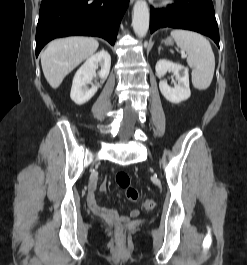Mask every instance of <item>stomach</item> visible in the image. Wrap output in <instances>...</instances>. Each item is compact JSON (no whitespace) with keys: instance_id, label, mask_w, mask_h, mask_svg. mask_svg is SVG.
<instances>
[{"instance_id":"obj_1","label":"stomach","mask_w":247,"mask_h":265,"mask_svg":"<svg viewBox=\"0 0 247 265\" xmlns=\"http://www.w3.org/2000/svg\"><path fill=\"white\" fill-rule=\"evenodd\" d=\"M163 43H164L165 45H172V44H173V41H172L171 38H167V39L163 40Z\"/></svg>"}]
</instances>
